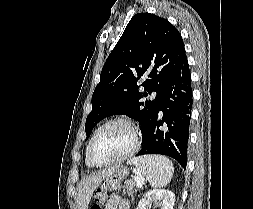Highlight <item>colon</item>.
<instances>
[{
    "instance_id": "1",
    "label": "colon",
    "mask_w": 253,
    "mask_h": 209,
    "mask_svg": "<svg viewBox=\"0 0 253 209\" xmlns=\"http://www.w3.org/2000/svg\"><path fill=\"white\" fill-rule=\"evenodd\" d=\"M108 183H111V182H108ZM103 189H104V188L99 189V190L97 191L96 200L99 201V200L101 199V196L105 193ZM90 209H100V207H99L98 205H93Z\"/></svg>"
}]
</instances>
